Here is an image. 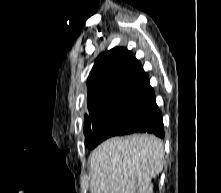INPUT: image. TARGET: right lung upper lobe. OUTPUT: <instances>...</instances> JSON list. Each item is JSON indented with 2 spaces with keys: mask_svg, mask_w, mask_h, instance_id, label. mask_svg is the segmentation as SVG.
<instances>
[{
  "mask_svg": "<svg viewBox=\"0 0 221 193\" xmlns=\"http://www.w3.org/2000/svg\"><path fill=\"white\" fill-rule=\"evenodd\" d=\"M87 86L90 115L118 101L151 102L155 98L140 62L123 47L106 51L96 59Z\"/></svg>",
  "mask_w": 221,
  "mask_h": 193,
  "instance_id": "1",
  "label": "right lung upper lobe"
}]
</instances>
